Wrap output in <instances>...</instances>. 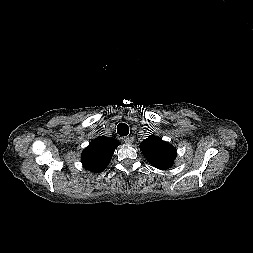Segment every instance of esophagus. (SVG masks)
Here are the masks:
<instances>
[{
    "mask_svg": "<svg viewBox=\"0 0 253 253\" xmlns=\"http://www.w3.org/2000/svg\"><path fill=\"white\" fill-rule=\"evenodd\" d=\"M123 140L126 144H132L133 143V138L131 136L125 137Z\"/></svg>",
    "mask_w": 253,
    "mask_h": 253,
    "instance_id": "esophagus-1",
    "label": "esophagus"
}]
</instances>
